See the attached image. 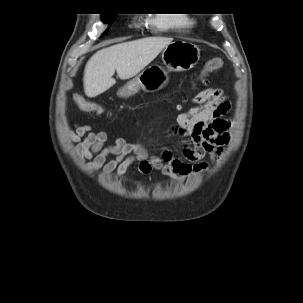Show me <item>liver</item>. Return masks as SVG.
Listing matches in <instances>:
<instances>
[{
  "instance_id": "obj_1",
  "label": "liver",
  "mask_w": 303,
  "mask_h": 303,
  "mask_svg": "<svg viewBox=\"0 0 303 303\" xmlns=\"http://www.w3.org/2000/svg\"><path fill=\"white\" fill-rule=\"evenodd\" d=\"M169 37H146L123 42L97 51L87 62L83 84L85 94L96 97L112 87L116 80L134 77L172 42Z\"/></svg>"
}]
</instances>
